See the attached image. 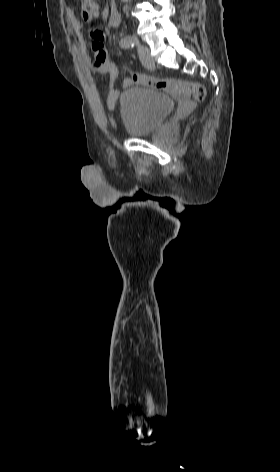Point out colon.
<instances>
[{
	"mask_svg": "<svg viewBox=\"0 0 280 472\" xmlns=\"http://www.w3.org/2000/svg\"><path fill=\"white\" fill-rule=\"evenodd\" d=\"M82 18L85 21L93 20L98 14V5L95 0H78ZM130 80L134 83L145 85L151 88L163 90L166 92L182 91L191 95L195 100L202 101L205 98V87L196 82H186L176 79H157L140 74L135 71H129Z\"/></svg>",
	"mask_w": 280,
	"mask_h": 472,
	"instance_id": "5ec220e1",
	"label": "colon"
}]
</instances>
